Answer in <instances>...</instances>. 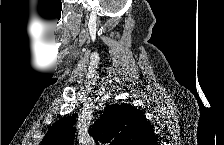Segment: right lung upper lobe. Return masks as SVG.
I'll return each instance as SVG.
<instances>
[{"instance_id": "right-lung-upper-lobe-1", "label": "right lung upper lobe", "mask_w": 224, "mask_h": 145, "mask_svg": "<svg viewBox=\"0 0 224 145\" xmlns=\"http://www.w3.org/2000/svg\"><path fill=\"white\" fill-rule=\"evenodd\" d=\"M76 118L64 117L53 124L41 145H71ZM96 143L110 145H150L155 138L153 128L143 114L130 104H108L100 118L89 129Z\"/></svg>"}]
</instances>
